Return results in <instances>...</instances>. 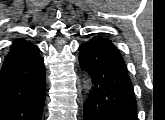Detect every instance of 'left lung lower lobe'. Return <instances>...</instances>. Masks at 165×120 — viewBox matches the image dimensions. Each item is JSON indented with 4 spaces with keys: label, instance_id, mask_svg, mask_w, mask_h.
Returning <instances> with one entry per match:
<instances>
[{
    "label": "left lung lower lobe",
    "instance_id": "1",
    "mask_svg": "<svg viewBox=\"0 0 165 120\" xmlns=\"http://www.w3.org/2000/svg\"><path fill=\"white\" fill-rule=\"evenodd\" d=\"M79 64L92 79L83 120H137L126 64L111 40L95 36L79 46Z\"/></svg>",
    "mask_w": 165,
    "mask_h": 120
}]
</instances>
